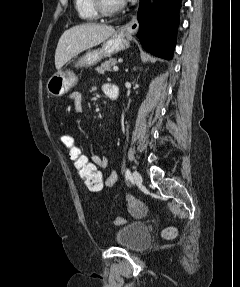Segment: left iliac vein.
<instances>
[{"mask_svg": "<svg viewBox=\"0 0 240 287\" xmlns=\"http://www.w3.org/2000/svg\"><path fill=\"white\" fill-rule=\"evenodd\" d=\"M132 179H133L134 183H136V184H140L142 182V176L140 175V173L138 171L133 172Z\"/></svg>", "mask_w": 240, "mask_h": 287, "instance_id": "obj_1", "label": "left iliac vein"}]
</instances>
